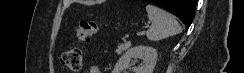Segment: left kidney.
Wrapping results in <instances>:
<instances>
[{"label": "left kidney", "mask_w": 244, "mask_h": 73, "mask_svg": "<svg viewBox=\"0 0 244 73\" xmlns=\"http://www.w3.org/2000/svg\"><path fill=\"white\" fill-rule=\"evenodd\" d=\"M138 57L142 58L143 63L140 67L132 68V73H153L158 57L157 50L143 45L128 49L117 61L112 73H126L132 59Z\"/></svg>", "instance_id": "left-kidney-1"}]
</instances>
